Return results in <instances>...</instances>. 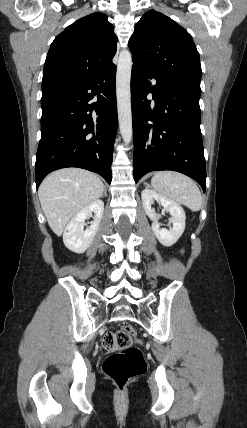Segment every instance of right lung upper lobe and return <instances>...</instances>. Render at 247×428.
<instances>
[{"mask_svg":"<svg viewBox=\"0 0 247 428\" xmlns=\"http://www.w3.org/2000/svg\"><path fill=\"white\" fill-rule=\"evenodd\" d=\"M113 29L107 16L96 12L60 33L47 54L42 93L82 85L113 65L117 49Z\"/></svg>","mask_w":247,"mask_h":428,"instance_id":"1","label":"right lung upper lobe"}]
</instances>
